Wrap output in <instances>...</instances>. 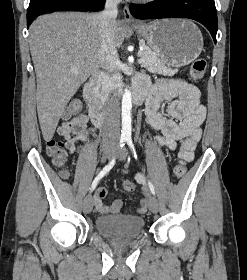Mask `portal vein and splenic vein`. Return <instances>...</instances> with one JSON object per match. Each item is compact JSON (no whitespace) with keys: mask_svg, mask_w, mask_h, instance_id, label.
I'll list each match as a JSON object with an SVG mask.
<instances>
[{"mask_svg":"<svg viewBox=\"0 0 247 280\" xmlns=\"http://www.w3.org/2000/svg\"><path fill=\"white\" fill-rule=\"evenodd\" d=\"M142 48H141V51H139V53H138V56H140V58H139V60H138V62L139 63H143L144 62V59L141 57V52H142Z\"/></svg>","mask_w":247,"mask_h":280,"instance_id":"1","label":"portal vein and splenic vein"}]
</instances>
